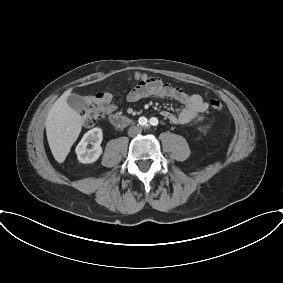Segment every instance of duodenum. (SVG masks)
Masks as SVG:
<instances>
[{"instance_id": "410a0bca", "label": "duodenum", "mask_w": 283, "mask_h": 283, "mask_svg": "<svg viewBox=\"0 0 283 283\" xmlns=\"http://www.w3.org/2000/svg\"><path fill=\"white\" fill-rule=\"evenodd\" d=\"M110 123L117 127V128H123L126 127L128 125H130L132 123V119L124 116V115H118V114H114L109 118Z\"/></svg>"}]
</instances>
